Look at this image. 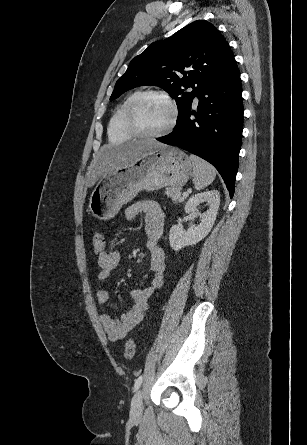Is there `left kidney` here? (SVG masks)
<instances>
[{"label": "left kidney", "mask_w": 307, "mask_h": 445, "mask_svg": "<svg viewBox=\"0 0 307 445\" xmlns=\"http://www.w3.org/2000/svg\"><path fill=\"white\" fill-rule=\"evenodd\" d=\"M200 202H207L209 204L206 212H201V223L197 227H191L188 231H185L180 225H173L170 229L169 241L170 247L174 251H180L183 247L188 245H196L199 241H202L204 237L209 235L217 216V210L219 208L220 196L218 190H207V192H198L191 196L185 204V212H196Z\"/></svg>", "instance_id": "1"}]
</instances>
